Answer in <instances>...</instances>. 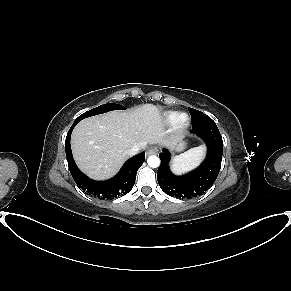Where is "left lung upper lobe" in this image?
<instances>
[{"label": "left lung upper lobe", "mask_w": 291, "mask_h": 291, "mask_svg": "<svg viewBox=\"0 0 291 291\" xmlns=\"http://www.w3.org/2000/svg\"><path fill=\"white\" fill-rule=\"evenodd\" d=\"M190 114H191V118H192V125H204L205 123H208L209 120H211V118L209 116H207L206 114L192 109V108H188Z\"/></svg>", "instance_id": "obj_1"}]
</instances>
